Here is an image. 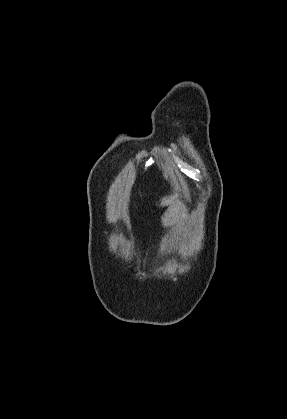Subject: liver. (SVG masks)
<instances>
[{"mask_svg":"<svg viewBox=\"0 0 287 419\" xmlns=\"http://www.w3.org/2000/svg\"><path fill=\"white\" fill-rule=\"evenodd\" d=\"M177 196L178 194H175L174 196L163 198L161 202V206L169 205Z\"/></svg>","mask_w":287,"mask_h":419,"instance_id":"liver-1","label":"liver"}]
</instances>
